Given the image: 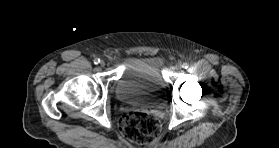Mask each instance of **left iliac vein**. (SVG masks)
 Segmentation results:
<instances>
[{"label": "left iliac vein", "mask_w": 279, "mask_h": 148, "mask_svg": "<svg viewBox=\"0 0 279 148\" xmlns=\"http://www.w3.org/2000/svg\"><path fill=\"white\" fill-rule=\"evenodd\" d=\"M175 68H176L177 70L181 69V68H182V64H181V63H177L176 66H175Z\"/></svg>", "instance_id": "1"}]
</instances>
